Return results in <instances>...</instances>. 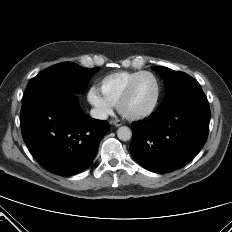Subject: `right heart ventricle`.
Segmentation results:
<instances>
[{
	"label": "right heart ventricle",
	"mask_w": 232,
	"mask_h": 232,
	"mask_svg": "<svg viewBox=\"0 0 232 232\" xmlns=\"http://www.w3.org/2000/svg\"><path fill=\"white\" fill-rule=\"evenodd\" d=\"M139 72L118 71L104 76L98 84L100 93L111 105H117L128 84Z\"/></svg>",
	"instance_id": "1"
}]
</instances>
